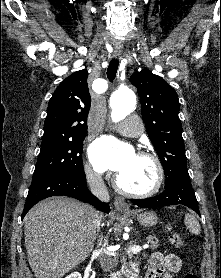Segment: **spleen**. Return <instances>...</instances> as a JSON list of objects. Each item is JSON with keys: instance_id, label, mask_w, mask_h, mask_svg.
<instances>
[{"instance_id": "spleen-1", "label": "spleen", "mask_w": 221, "mask_h": 278, "mask_svg": "<svg viewBox=\"0 0 221 278\" xmlns=\"http://www.w3.org/2000/svg\"><path fill=\"white\" fill-rule=\"evenodd\" d=\"M185 225L187 227V229L194 235H199L201 233V227L199 225V222L197 221V219L191 215V214H187L185 215Z\"/></svg>"}]
</instances>
